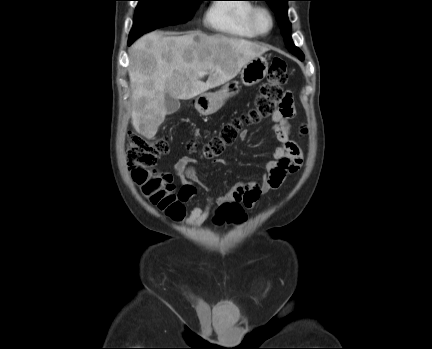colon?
<instances>
[{"label": "colon", "instance_id": "5ec220e1", "mask_svg": "<svg viewBox=\"0 0 432 349\" xmlns=\"http://www.w3.org/2000/svg\"><path fill=\"white\" fill-rule=\"evenodd\" d=\"M288 80L286 62L274 58L271 62L266 82L254 101L253 107L243 115L225 124L221 131L206 143L201 154L204 158L214 159L220 156L225 148L232 144L248 124H254L276 112L289 113L292 106V95L283 89ZM170 136L148 140L139 134H131L127 144L128 168L134 182L140 187L143 195L160 210L174 219L180 218L184 207L175 191L173 177L168 172L156 168L157 161L169 150ZM190 150L196 148L194 141H189ZM244 219L241 204L226 203L221 206L218 222H240Z\"/></svg>", "mask_w": 432, "mask_h": 349}]
</instances>
